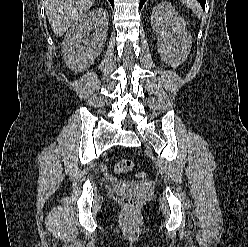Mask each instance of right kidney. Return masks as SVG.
<instances>
[{"mask_svg": "<svg viewBox=\"0 0 248 247\" xmlns=\"http://www.w3.org/2000/svg\"><path fill=\"white\" fill-rule=\"evenodd\" d=\"M108 19L107 10L97 8L70 27L62 42L63 57L70 69L83 71L100 55L106 41Z\"/></svg>", "mask_w": 248, "mask_h": 247, "instance_id": "right-kidney-1", "label": "right kidney"}]
</instances>
